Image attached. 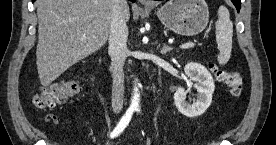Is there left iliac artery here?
<instances>
[{"instance_id":"1","label":"left iliac artery","mask_w":276,"mask_h":145,"mask_svg":"<svg viewBox=\"0 0 276 145\" xmlns=\"http://www.w3.org/2000/svg\"><path fill=\"white\" fill-rule=\"evenodd\" d=\"M136 111L140 112V109H139V108H137V109H136Z\"/></svg>"}]
</instances>
